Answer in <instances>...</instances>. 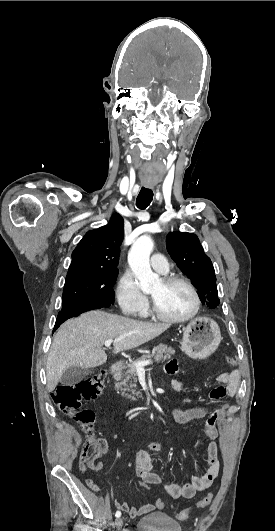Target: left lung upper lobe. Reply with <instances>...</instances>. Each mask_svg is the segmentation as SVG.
<instances>
[{
	"instance_id": "5c2ea615",
	"label": "left lung upper lobe",
	"mask_w": 275,
	"mask_h": 531,
	"mask_svg": "<svg viewBox=\"0 0 275 531\" xmlns=\"http://www.w3.org/2000/svg\"><path fill=\"white\" fill-rule=\"evenodd\" d=\"M171 258L198 290L203 304L215 308L220 304L216 276L210 258L204 253L198 237L193 233L171 232L166 237Z\"/></svg>"
}]
</instances>
